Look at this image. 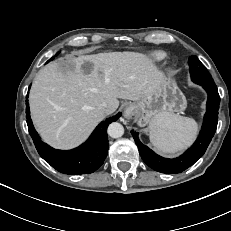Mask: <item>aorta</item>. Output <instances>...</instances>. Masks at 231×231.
<instances>
[{"label": "aorta", "instance_id": "aorta-1", "mask_svg": "<svg viewBox=\"0 0 231 231\" xmlns=\"http://www.w3.org/2000/svg\"><path fill=\"white\" fill-rule=\"evenodd\" d=\"M107 132L110 137L119 138L124 134V127L118 122H113L108 126Z\"/></svg>", "mask_w": 231, "mask_h": 231}]
</instances>
